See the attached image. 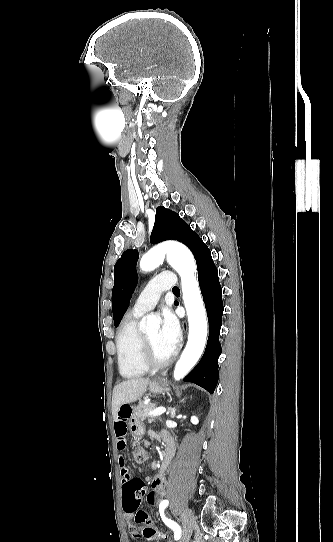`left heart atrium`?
<instances>
[{
    "mask_svg": "<svg viewBox=\"0 0 333 542\" xmlns=\"http://www.w3.org/2000/svg\"><path fill=\"white\" fill-rule=\"evenodd\" d=\"M163 341L174 352L181 339V328L178 319L170 308H164L162 312V326L160 330Z\"/></svg>",
    "mask_w": 333,
    "mask_h": 542,
    "instance_id": "obj_1",
    "label": "left heart atrium"
}]
</instances>
